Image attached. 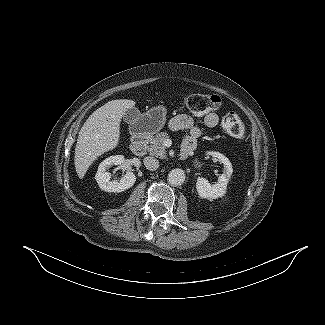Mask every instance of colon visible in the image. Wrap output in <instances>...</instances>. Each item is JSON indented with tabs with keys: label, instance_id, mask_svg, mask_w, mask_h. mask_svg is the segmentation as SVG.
Wrapping results in <instances>:
<instances>
[{
	"label": "colon",
	"instance_id": "obj_1",
	"mask_svg": "<svg viewBox=\"0 0 325 325\" xmlns=\"http://www.w3.org/2000/svg\"><path fill=\"white\" fill-rule=\"evenodd\" d=\"M184 105L192 114L201 115L218 110L221 107V99L215 94H192L185 98ZM222 124L230 137L237 140L244 138L245 128L236 112H227L223 116Z\"/></svg>",
	"mask_w": 325,
	"mask_h": 325
}]
</instances>
